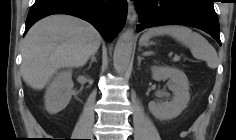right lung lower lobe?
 <instances>
[{
	"mask_svg": "<svg viewBox=\"0 0 236 140\" xmlns=\"http://www.w3.org/2000/svg\"><path fill=\"white\" fill-rule=\"evenodd\" d=\"M51 14H70L82 18L111 40L125 25L126 0H36L31 7L25 33L38 20ZM24 33V34H25Z\"/></svg>",
	"mask_w": 236,
	"mask_h": 140,
	"instance_id": "right-lung-lower-lobe-1",
	"label": "right lung lower lobe"
}]
</instances>
